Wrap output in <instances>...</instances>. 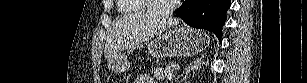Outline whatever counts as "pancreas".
I'll use <instances>...</instances> for the list:
<instances>
[{"label": "pancreas", "mask_w": 307, "mask_h": 83, "mask_svg": "<svg viewBox=\"0 0 307 83\" xmlns=\"http://www.w3.org/2000/svg\"><path fill=\"white\" fill-rule=\"evenodd\" d=\"M172 73V71L168 68H156V70L154 71V77L156 79H159V80H164L167 78V76Z\"/></svg>", "instance_id": "pancreas-1"}]
</instances>
